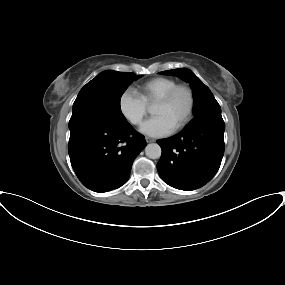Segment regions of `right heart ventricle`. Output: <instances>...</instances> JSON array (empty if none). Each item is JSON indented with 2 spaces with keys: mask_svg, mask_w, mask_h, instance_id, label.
Masks as SVG:
<instances>
[{
  "mask_svg": "<svg viewBox=\"0 0 285 285\" xmlns=\"http://www.w3.org/2000/svg\"><path fill=\"white\" fill-rule=\"evenodd\" d=\"M178 82L170 77H156L138 87V95L147 106L154 105Z\"/></svg>",
  "mask_w": 285,
  "mask_h": 285,
  "instance_id": "obj_1",
  "label": "right heart ventricle"
}]
</instances>
